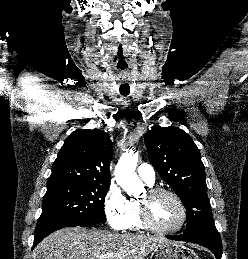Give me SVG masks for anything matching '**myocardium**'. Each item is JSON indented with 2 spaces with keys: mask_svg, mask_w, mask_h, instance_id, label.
<instances>
[{
  "mask_svg": "<svg viewBox=\"0 0 248 259\" xmlns=\"http://www.w3.org/2000/svg\"><path fill=\"white\" fill-rule=\"evenodd\" d=\"M146 194H147V198L139 201L140 217L145 228L160 235H173L179 232L185 225V222L187 219V210L180 196L174 191L163 187H151L147 190ZM162 194L172 197L180 208V212H181L180 222L176 227L172 229L159 228L153 222L151 217L150 200Z\"/></svg>",
  "mask_w": 248,
  "mask_h": 259,
  "instance_id": "f54148a6",
  "label": "myocardium"
}]
</instances>
